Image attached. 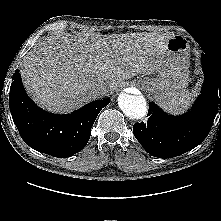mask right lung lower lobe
<instances>
[{"label": "right lung lower lobe", "instance_id": "right-lung-lower-lobe-1", "mask_svg": "<svg viewBox=\"0 0 221 221\" xmlns=\"http://www.w3.org/2000/svg\"><path fill=\"white\" fill-rule=\"evenodd\" d=\"M109 102V99L95 101L71 114L46 112L28 97L18 70L9 94L12 118L24 142L59 158L70 157L86 146L96 117Z\"/></svg>", "mask_w": 221, "mask_h": 221}]
</instances>
